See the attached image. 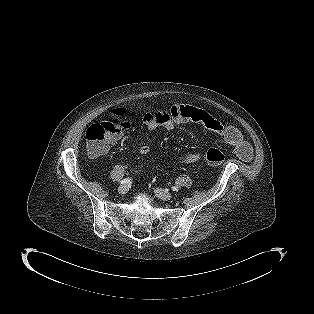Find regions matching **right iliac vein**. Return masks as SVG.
Segmentation results:
<instances>
[{
	"label": "right iliac vein",
	"mask_w": 314,
	"mask_h": 314,
	"mask_svg": "<svg viewBox=\"0 0 314 314\" xmlns=\"http://www.w3.org/2000/svg\"><path fill=\"white\" fill-rule=\"evenodd\" d=\"M127 191H128L127 185H120V186L118 187V192H119L120 194H125V193H127Z\"/></svg>",
	"instance_id": "63e3f726"
}]
</instances>
